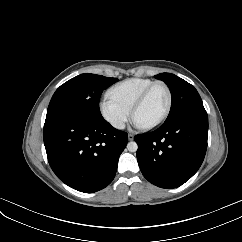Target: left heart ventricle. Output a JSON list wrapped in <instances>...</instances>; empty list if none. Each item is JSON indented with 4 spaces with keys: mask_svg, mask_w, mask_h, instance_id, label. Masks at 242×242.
<instances>
[{
    "mask_svg": "<svg viewBox=\"0 0 242 242\" xmlns=\"http://www.w3.org/2000/svg\"><path fill=\"white\" fill-rule=\"evenodd\" d=\"M167 103V93L162 86L155 87L135 113L134 121L146 126L157 121Z\"/></svg>",
    "mask_w": 242,
    "mask_h": 242,
    "instance_id": "left-heart-ventricle-1",
    "label": "left heart ventricle"
}]
</instances>
